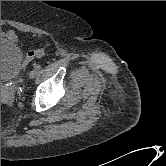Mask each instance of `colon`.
Masks as SVG:
<instances>
[{"label": "colon", "mask_w": 166, "mask_h": 166, "mask_svg": "<svg viewBox=\"0 0 166 166\" xmlns=\"http://www.w3.org/2000/svg\"><path fill=\"white\" fill-rule=\"evenodd\" d=\"M49 46V45H48ZM46 52V49L45 48H39V49H34V50H31L27 53V57L29 59H33L35 57H39V56H42L44 53ZM3 112V106L1 105V113Z\"/></svg>", "instance_id": "5ec220e1"}]
</instances>
